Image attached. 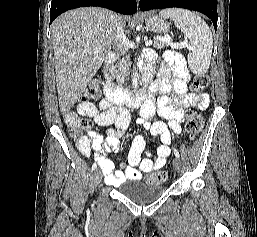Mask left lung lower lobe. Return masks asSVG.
I'll return each mask as SVG.
<instances>
[{"label":"left lung lower lobe","instance_id":"0a47b994","mask_svg":"<svg viewBox=\"0 0 257 237\" xmlns=\"http://www.w3.org/2000/svg\"><path fill=\"white\" fill-rule=\"evenodd\" d=\"M141 11L179 7L199 11L208 16L217 29V0H140Z\"/></svg>","mask_w":257,"mask_h":237}]
</instances>
